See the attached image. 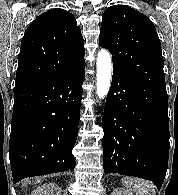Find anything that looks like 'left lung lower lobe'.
<instances>
[{
    "mask_svg": "<svg viewBox=\"0 0 178 195\" xmlns=\"http://www.w3.org/2000/svg\"><path fill=\"white\" fill-rule=\"evenodd\" d=\"M168 97L113 72L102 127L103 168L151 180L161 188L168 168Z\"/></svg>",
    "mask_w": 178,
    "mask_h": 195,
    "instance_id": "left-lung-lower-lobe-1",
    "label": "left lung lower lobe"
}]
</instances>
